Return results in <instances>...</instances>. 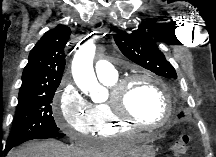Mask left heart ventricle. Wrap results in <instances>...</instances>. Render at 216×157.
Returning <instances> with one entry per match:
<instances>
[{"mask_svg":"<svg viewBox=\"0 0 216 157\" xmlns=\"http://www.w3.org/2000/svg\"><path fill=\"white\" fill-rule=\"evenodd\" d=\"M128 109L142 121L158 123L165 116L163 95L149 81L137 80L129 88Z\"/></svg>","mask_w":216,"mask_h":157,"instance_id":"left-heart-ventricle-1","label":"left heart ventricle"}]
</instances>
